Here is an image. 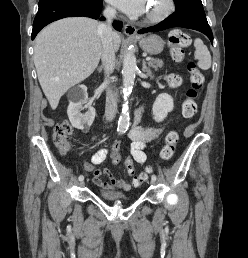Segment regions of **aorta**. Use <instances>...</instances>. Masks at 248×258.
<instances>
[{
    "label": "aorta",
    "instance_id": "obj_1",
    "mask_svg": "<svg viewBox=\"0 0 248 258\" xmlns=\"http://www.w3.org/2000/svg\"><path fill=\"white\" fill-rule=\"evenodd\" d=\"M136 70H137L136 57L132 51L128 50L124 55L123 69H122L123 92L125 95V99L128 96V94H130L132 91ZM128 127H129L128 106L127 104H124L122 108V113L118 121L117 131L119 133H124L128 129Z\"/></svg>",
    "mask_w": 248,
    "mask_h": 258
}]
</instances>
